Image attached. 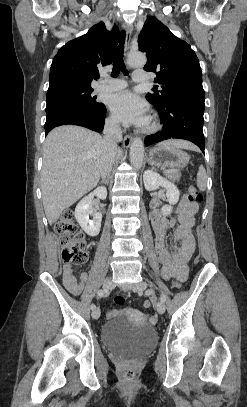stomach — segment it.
Here are the masks:
<instances>
[{
    "mask_svg": "<svg viewBox=\"0 0 247 407\" xmlns=\"http://www.w3.org/2000/svg\"><path fill=\"white\" fill-rule=\"evenodd\" d=\"M190 160L188 153L166 142L157 144L149 151L150 165L171 169H182Z\"/></svg>",
    "mask_w": 247,
    "mask_h": 407,
    "instance_id": "stomach-1",
    "label": "stomach"
}]
</instances>
